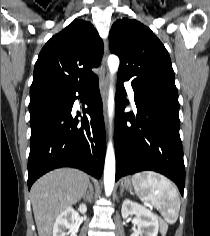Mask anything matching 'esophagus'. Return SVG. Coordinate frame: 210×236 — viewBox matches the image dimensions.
Here are the masks:
<instances>
[{
    "label": "esophagus",
    "mask_w": 210,
    "mask_h": 236,
    "mask_svg": "<svg viewBox=\"0 0 210 236\" xmlns=\"http://www.w3.org/2000/svg\"><path fill=\"white\" fill-rule=\"evenodd\" d=\"M108 43L105 41L104 44V53L101 63V77H100V85H101V96L103 102V115L105 120L106 127L108 126V117H107V91H108V83H109V73L107 69V58H108Z\"/></svg>",
    "instance_id": "1"
}]
</instances>
